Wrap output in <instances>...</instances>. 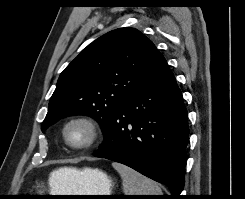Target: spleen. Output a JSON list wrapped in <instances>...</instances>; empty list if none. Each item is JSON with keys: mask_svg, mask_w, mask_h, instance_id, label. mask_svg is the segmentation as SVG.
I'll return each mask as SVG.
<instances>
[{"mask_svg": "<svg viewBox=\"0 0 245 199\" xmlns=\"http://www.w3.org/2000/svg\"><path fill=\"white\" fill-rule=\"evenodd\" d=\"M122 178L125 195H162L158 184L132 168L120 163H112Z\"/></svg>", "mask_w": 245, "mask_h": 199, "instance_id": "1", "label": "spleen"}]
</instances>
